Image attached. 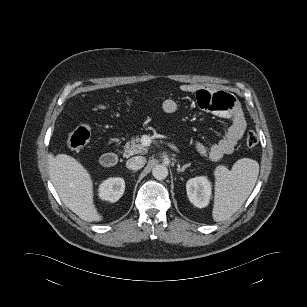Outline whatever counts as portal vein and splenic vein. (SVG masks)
<instances>
[{
	"label": "portal vein and splenic vein",
	"instance_id": "1",
	"mask_svg": "<svg viewBox=\"0 0 307 307\" xmlns=\"http://www.w3.org/2000/svg\"><path fill=\"white\" fill-rule=\"evenodd\" d=\"M141 141H142V144H143L144 146H149V145L151 144V142H152V138H151L150 136L144 135V136L142 137ZM171 147H172L173 149L177 150L176 146L171 145Z\"/></svg>",
	"mask_w": 307,
	"mask_h": 307
}]
</instances>
